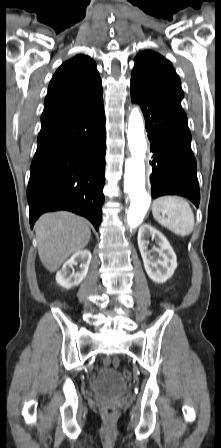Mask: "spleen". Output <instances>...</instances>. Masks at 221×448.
<instances>
[{"label": "spleen", "mask_w": 221, "mask_h": 448, "mask_svg": "<svg viewBox=\"0 0 221 448\" xmlns=\"http://www.w3.org/2000/svg\"><path fill=\"white\" fill-rule=\"evenodd\" d=\"M153 217L175 235L185 237L194 229V214L187 201L178 196H163L152 204Z\"/></svg>", "instance_id": "3e777b00"}]
</instances>
